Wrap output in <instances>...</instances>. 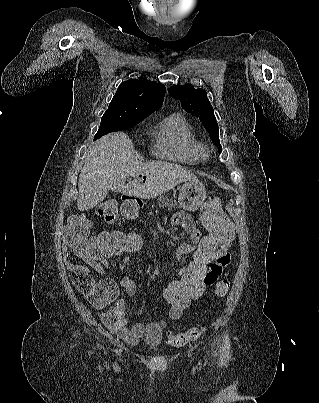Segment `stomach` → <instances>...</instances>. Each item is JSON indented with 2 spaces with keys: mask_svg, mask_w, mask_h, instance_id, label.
I'll use <instances>...</instances> for the list:
<instances>
[{
  "mask_svg": "<svg viewBox=\"0 0 319 403\" xmlns=\"http://www.w3.org/2000/svg\"><path fill=\"white\" fill-rule=\"evenodd\" d=\"M206 196V189L201 182L188 180L180 187L178 202L184 210L195 211L204 203Z\"/></svg>",
  "mask_w": 319,
  "mask_h": 403,
  "instance_id": "obj_1",
  "label": "stomach"
}]
</instances>
